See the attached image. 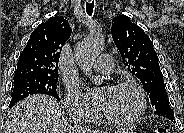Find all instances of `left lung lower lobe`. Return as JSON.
<instances>
[{
    "label": "left lung lower lobe",
    "instance_id": "0a47b994",
    "mask_svg": "<svg viewBox=\"0 0 184 133\" xmlns=\"http://www.w3.org/2000/svg\"><path fill=\"white\" fill-rule=\"evenodd\" d=\"M154 113L159 116H163L172 122H175L174 112L172 111L170 107L159 108Z\"/></svg>",
    "mask_w": 184,
    "mask_h": 133
}]
</instances>
